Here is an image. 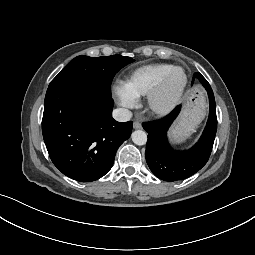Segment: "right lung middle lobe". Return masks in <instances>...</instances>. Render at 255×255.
<instances>
[{
  "instance_id": "dd1d6c3e",
  "label": "right lung middle lobe",
  "mask_w": 255,
  "mask_h": 255,
  "mask_svg": "<svg viewBox=\"0 0 255 255\" xmlns=\"http://www.w3.org/2000/svg\"><path fill=\"white\" fill-rule=\"evenodd\" d=\"M134 60L127 56L112 55L107 57L78 56L74 58L51 81L49 87L69 84H84L99 88L111 94V82L115 74Z\"/></svg>"
}]
</instances>
